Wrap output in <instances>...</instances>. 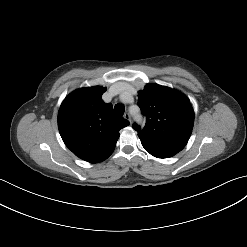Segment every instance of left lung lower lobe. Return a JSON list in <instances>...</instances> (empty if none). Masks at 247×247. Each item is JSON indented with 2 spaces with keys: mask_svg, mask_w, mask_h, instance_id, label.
Returning a JSON list of instances; mask_svg holds the SVG:
<instances>
[{
  "mask_svg": "<svg viewBox=\"0 0 247 247\" xmlns=\"http://www.w3.org/2000/svg\"><path fill=\"white\" fill-rule=\"evenodd\" d=\"M148 151V150H147ZM151 155H153L154 157H157V158H169V157H172V156H169V155H165V154H161V153H157V152H154V151H148Z\"/></svg>",
  "mask_w": 247,
  "mask_h": 247,
  "instance_id": "0a47b994",
  "label": "left lung lower lobe"
}]
</instances>
